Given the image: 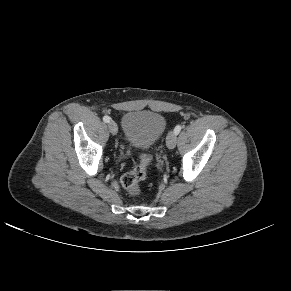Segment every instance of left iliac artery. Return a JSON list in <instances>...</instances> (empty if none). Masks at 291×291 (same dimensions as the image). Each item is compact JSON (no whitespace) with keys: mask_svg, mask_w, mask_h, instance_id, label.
I'll use <instances>...</instances> for the list:
<instances>
[{"mask_svg":"<svg viewBox=\"0 0 291 291\" xmlns=\"http://www.w3.org/2000/svg\"><path fill=\"white\" fill-rule=\"evenodd\" d=\"M181 125H177L176 127H175V129H174V133L176 134V135H178L179 133H180V131H181Z\"/></svg>","mask_w":291,"mask_h":291,"instance_id":"left-iliac-artery-1","label":"left iliac artery"}]
</instances>
